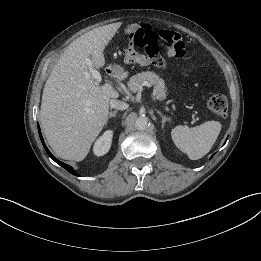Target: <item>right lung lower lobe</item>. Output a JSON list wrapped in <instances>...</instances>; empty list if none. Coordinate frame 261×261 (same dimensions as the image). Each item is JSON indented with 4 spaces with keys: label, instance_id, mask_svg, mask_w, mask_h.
<instances>
[{
    "label": "right lung lower lobe",
    "instance_id": "obj_1",
    "mask_svg": "<svg viewBox=\"0 0 261 261\" xmlns=\"http://www.w3.org/2000/svg\"><path fill=\"white\" fill-rule=\"evenodd\" d=\"M38 131H39V136H40V139H41V141H42V144H43V146H44V148H45L47 154L49 155V157L52 158V159H53L56 163H58L60 166H62L63 168H65V169H66L68 172H70L71 174L78 176V174L74 171V169H73L71 166H69V165H67V164H65V163H63V162H61V161H59L58 159H56V158L50 153V151L48 150V148L46 147V145H45V143H44V140H43V137H42V134H41L39 125H38Z\"/></svg>",
    "mask_w": 261,
    "mask_h": 261
}]
</instances>
